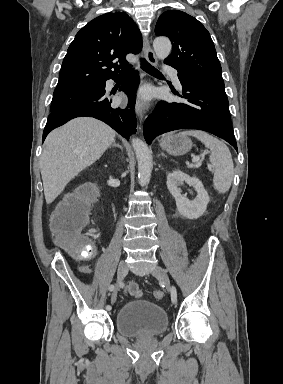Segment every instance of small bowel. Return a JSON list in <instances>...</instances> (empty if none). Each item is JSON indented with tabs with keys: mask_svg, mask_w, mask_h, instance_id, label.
Segmentation results:
<instances>
[{
	"mask_svg": "<svg viewBox=\"0 0 283 384\" xmlns=\"http://www.w3.org/2000/svg\"><path fill=\"white\" fill-rule=\"evenodd\" d=\"M80 269H81V271H82L83 273H85V274H89V273L92 272V270H91L89 267H87V266H83V267H81ZM134 286H136V285L132 283V284H129L128 287H134Z\"/></svg>",
	"mask_w": 283,
	"mask_h": 384,
	"instance_id": "obj_1",
	"label": "small bowel"
}]
</instances>
